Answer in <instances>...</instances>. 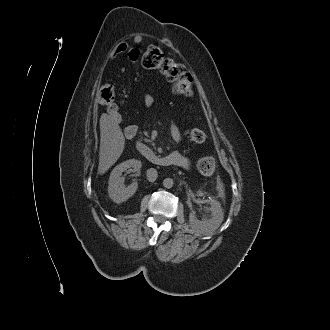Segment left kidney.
I'll return each mask as SVG.
<instances>
[{"mask_svg":"<svg viewBox=\"0 0 330 330\" xmlns=\"http://www.w3.org/2000/svg\"><path fill=\"white\" fill-rule=\"evenodd\" d=\"M210 207L205 210L210 211V215H204L201 220H198L195 216V212H191L189 215V223L192 230L201 235L212 234L222 223L224 219L223 209L221 204L216 200H210Z\"/></svg>","mask_w":330,"mask_h":330,"instance_id":"1","label":"left kidney"}]
</instances>
